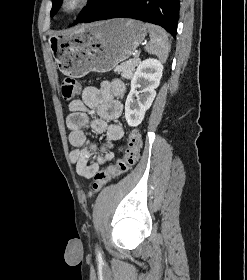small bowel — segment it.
Returning <instances> with one entry per match:
<instances>
[{
	"instance_id": "obj_1",
	"label": "small bowel",
	"mask_w": 247,
	"mask_h": 280,
	"mask_svg": "<svg viewBox=\"0 0 247 280\" xmlns=\"http://www.w3.org/2000/svg\"><path fill=\"white\" fill-rule=\"evenodd\" d=\"M125 94L126 86L121 80L103 81L98 87H86L81 99L69 103L66 126L70 131L69 142L75 147L70 152V160L78 175L93 178L113 158L115 143L124 136V125L118 119L123 110L120 98ZM94 115L96 117L90 120ZM87 126L95 133L105 135V141L99 147L87 138L84 131ZM96 150L99 154L93 157Z\"/></svg>"
}]
</instances>
